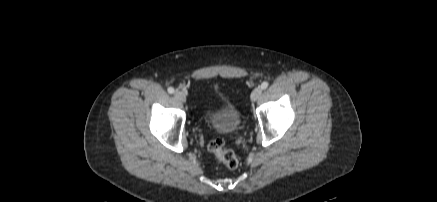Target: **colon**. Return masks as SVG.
I'll return each instance as SVG.
<instances>
[{
  "label": "colon",
  "mask_w": 437,
  "mask_h": 202,
  "mask_svg": "<svg viewBox=\"0 0 437 202\" xmlns=\"http://www.w3.org/2000/svg\"><path fill=\"white\" fill-rule=\"evenodd\" d=\"M207 150L214 154L228 169L235 170L238 168L239 160L236 154L225 148V142L222 138L212 139L207 145Z\"/></svg>",
  "instance_id": "5ec220e1"
}]
</instances>
